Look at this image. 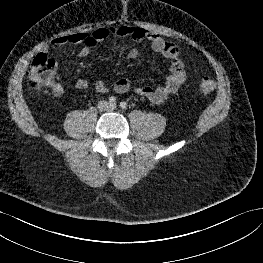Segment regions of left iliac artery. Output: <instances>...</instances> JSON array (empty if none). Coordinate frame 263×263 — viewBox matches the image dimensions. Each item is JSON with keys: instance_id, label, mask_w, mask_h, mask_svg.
<instances>
[{"instance_id": "left-iliac-artery-1", "label": "left iliac artery", "mask_w": 263, "mask_h": 263, "mask_svg": "<svg viewBox=\"0 0 263 263\" xmlns=\"http://www.w3.org/2000/svg\"><path fill=\"white\" fill-rule=\"evenodd\" d=\"M120 107H121L122 109H126V108H127V103L124 102V101L120 102Z\"/></svg>"}]
</instances>
